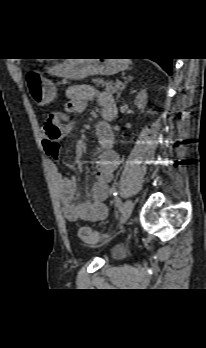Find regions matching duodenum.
Returning a JSON list of instances; mask_svg holds the SVG:
<instances>
[{"label":"duodenum","instance_id":"duodenum-1","mask_svg":"<svg viewBox=\"0 0 206 348\" xmlns=\"http://www.w3.org/2000/svg\"><path fill=\"white\" fill-rule=\"evenodd\" d=\"M115 114L116 105L103 109L104 124L99 128L98 133L100 139L105 143H110L112 141L110 122L114 119Z\"/></svg>","mask_w":206,"mask_h":348}]
</instances>
